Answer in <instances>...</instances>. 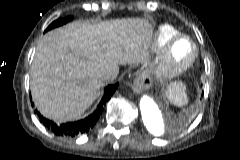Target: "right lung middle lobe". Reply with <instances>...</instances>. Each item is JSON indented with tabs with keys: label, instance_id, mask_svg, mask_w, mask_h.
<instances>
[{
	"label": "right lung middle lobe",
	"instance_id": "obj_1",
	"mask_svg": "<svg viewBox=\"0 0 240 160\" xmlns=\"http://www.w3.org/2000/svg\"><path fill=\"white\" fill-rule=\"evenodd\" d=\"M70 20H71V17H67V18H65V19L56 20V21L52 22V23L47 27L46 31H48V30H50V29H52V28L58 27V26H60V25H62V24H65V23H67V22L70 21Z\"/></svg>",
	"mask_w": 240,
	"mask_h": 160
}]
</instances>
